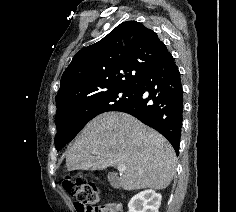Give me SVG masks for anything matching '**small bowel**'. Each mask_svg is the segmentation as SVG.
Wrapping results in <instances>:
<instances>
[{"instance_id":"small-bowel-1","label":"small bowel","mask_w":236,"mask_h":212,"mask_svg":"<svg viewBox=\"0 0 236 212\" xmlns=\"http://www.w3.org/2000/svg\"><path fill=\"white\" fill-rule=\"evenodd\" d=\"M103 211L104 212H122V205L116 202L109 203L103 207Z\"/></svg>"}]
</instances>
